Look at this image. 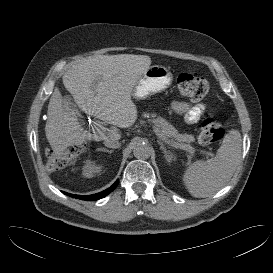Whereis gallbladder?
Returning a JSON list of instances; mask_svg holds the SVG:
<instances>
[{"label": "gallbladder", "mask_w": 273, "mask_h": 273, "mask_svg": "<svg viewBox=\"0 0 273 273\" xmlns=\"http://www.w3.org/2000/svg\"><path fill=\"white\" fill-rule=\"evenodd\" d=\"M66 103L67 107L69 108V111L72 112L73 117H79L80 116V111L78 108H76V105L73 102L72 97H67L66 98Z\"/></svg>", "instance_id": "obj_1"}]
</instances>
